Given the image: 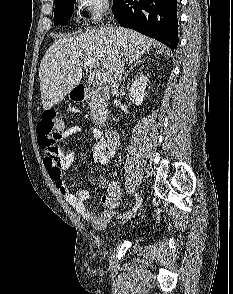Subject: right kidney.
<instances>
[{
  "label": "right kidney",
  "instance_id": "right-kidney-1",
  "mask_svg": "<svg viewBox=\"0 0 233 294\" xmlns=\"http://www.w3.org/2000/svg\"><path fill=\"white\" fill-rule=\"evenodd\" d=\"M148 84V77L141 75L132 83L129 89V99L136 106L142 105L144 97L146 96V86Z\"/></svg>",
  "mask_w": 233,
  "mask_h": 294
}]
</instances>
